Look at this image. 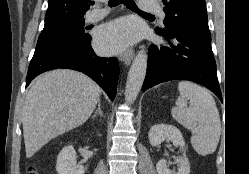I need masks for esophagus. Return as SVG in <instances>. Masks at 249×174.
Listing matches in <instances>:
<instances>
[{"label": "esophagus", "mask_w": 249, "mask_h": 174, "mask_svg": "<svg viewBox=\"0 0 249 174\" xmlns=\"http://www.w3.org/2000/svg\"><path fill=\"white\" fill-rule=\"evenodd\" d=\"M134 57V50L128 49L125 53L119 56L120 61L124 62L126 65H129Z\"/></svg>", "instance_id": "1"}]
</instances>
